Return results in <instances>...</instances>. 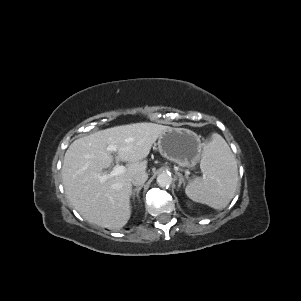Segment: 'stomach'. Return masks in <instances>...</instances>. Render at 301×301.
Instances as JSON below:
<instances>
[{
  "label": "stomach",
  "instance_id": "1",
  "mask_svg": "<svg viewBox=\"0 0 301 301\" xmlns=\"http://www.w3.org/2000/svg\"><path fill=\"white\" fill-rule=\"evenodd\" d=\"M158 148L166 159L193 168L201 158L202 143L192 130L168 127L158 138Z\"/></svg>",
  "mask_w": 301,
  "mask_h": 301
}]
</instances>
